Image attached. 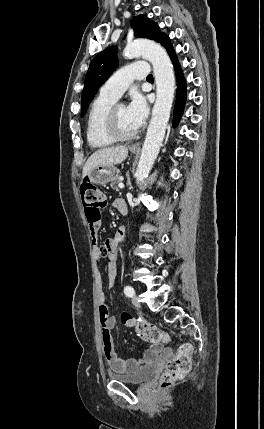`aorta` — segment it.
Masks as SVG:
<instances>
[{
    "instance_id": "1",
    "label": "aorta",
    "mask_w": 264,
    "mask_h": 429,
    "mask_svg": "<svg viewBox=\"0 0 264 429\" xmlns=\"http://www.w3.org/2000/svg\"><path fill=\"white\" fill-rule=\"evenodd\" d=\"M124 56L128 59L142 57L150 61L153 65L157 87L152 118L135 174L137 181L143 182L153 167L165 137L174 98L175 76L167 52L154 41L138 39L128 43L124 49Z\"/></svg>"
}]
</instances>
